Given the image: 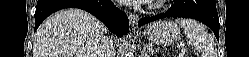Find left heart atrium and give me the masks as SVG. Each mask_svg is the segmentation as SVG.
I'll list each match as a JSON object with an SVG mask.
<instances>
[{"label":"left heart atrium","instance_id":"1","mask_svg":"<svg viewBox=\"0 0 249 57\" xmlns=\"http://www.w3.org/2000/svg\"><path fill=\"white\" fill-rule=\"evenodd\" d=\"M128 2H131V3H149L151 2V0H129Z\"/></svg>","mask_w":249,"mask_h":57}]
</instances>
